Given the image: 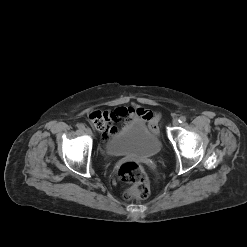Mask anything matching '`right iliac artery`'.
Masks as SVG:
<instances>
[{
	"mask_svg": "<svg viewBox=\"0 0 247 247\" xmlns=\"http://www.w3.org/2000/svg\"><path fill=\"white\" fill-rule=\"evenodd\" d=\"M78 128H79V129H85V126H84V124H81V123H80V124H78Z\"/></svg>",
	"mask_w": 247,
	"mask_h": 247,
	"instance_id": "82829eb1",
	"label": "right iliac artery"
}]
</instances>
